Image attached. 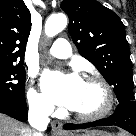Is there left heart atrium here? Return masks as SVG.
I'll use <instances>...</instances> for the list:
<instances>
[{
	"label": "left heart atrium",
	"instance_id": "1",
	"mask_svg": "<svg viewBox=\"0 0 136 136\" xmlns=\"http://www.w3.org/2000/svg\"><path fill=\"white\" fill-rule=\"evenodd\" d=\"M48 97L58 105L74 109L77 106L83 80L77 74L46 72L42 79Z\"/></svg>",
	"mask_w": 136,
	"mask_h": 136
}]
</instances>
